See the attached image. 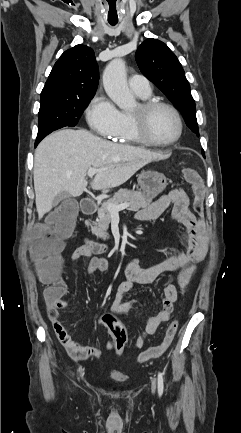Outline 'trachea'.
<instances>
[{
	"mask_svg": "<svg viewBox=\"0 0 241 433\" xmlns=\"http://www.w3.org/2000/svg\"><path fill=\"white\" fill-rule=\"evenodd\" d=\"M107 19L110 26H117L119 24V14L116 9L115 3L109 4V9L107 11Z\"/></svg>",
	"mask_w": 241,
	"mask_h": 433,
	"instance_id": "obj_1",
	"label": "trachea"
}]
</instances>
